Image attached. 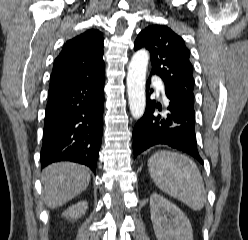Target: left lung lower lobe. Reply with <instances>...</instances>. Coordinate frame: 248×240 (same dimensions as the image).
Here are the masks:
<instances>
[{"mask_svg": "<svg viewBox=\"0 0 248 240\" xmlns=\"http://www.w3.org/2000/svg\"><path fill=\"white\" fill-rule=\"evenodd\" d=\"M150 79L146 83L147 102L143 116L133 129V153L136 158L140 153L157 144L168 145L185 152L203 163L199 155L195 134L194 104L178 99L165 90L169 100L165 115L155 114V109L162 111V106L150 99Z\"/></svg>", "mask_w": 248, "mask_h": 240, "instance_id": "left-lung-lower-lobe-1", "label": "left lung lower lobe"}]
</instances>
